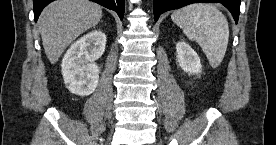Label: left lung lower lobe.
I'll use <instances>...</instances> for the list:
<instances>
[{
  "label": "left lung lower lobe",
  "instance_id": "obj_1",
  "mask_svg": "<svg viewBox=\"0 0 276 145\" xmlns=\"http://www.w3.org/2000/svg\"><path fill=\"white\" fill-rule=\"evenodd\" d=\"M197 2H218L223 4L233 15L236 23H238L240 13V0H154V18L158 20L159 16L169 10L178 9L185 5Z\"/></svg>",
  "mask_w": 276,
  "mask_h": 145
}]
</instances>
